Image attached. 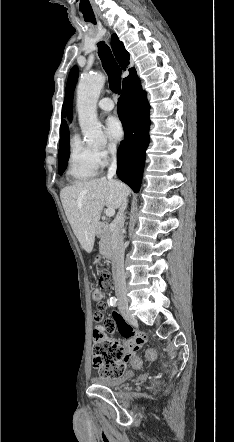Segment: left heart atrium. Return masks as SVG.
I'll return each instance as SVG.
<instances>
[{
  "mask_svg": "<svg viewBox=\"0 0 234 442\" xmlns=\"http://www.w3.org/2000/svg\"><path fill=\"white\" fill-rule=\"evenodd\" d=\"M106 131L109 138L114 142H118L124 137L123 124L116 116H110L106 120Z\"/></svg>",
  "mask_w": 234,
  "mask_h": 442,
  "instance_id": "1",
  "label": "left heart atrium"
}]
</instances>
